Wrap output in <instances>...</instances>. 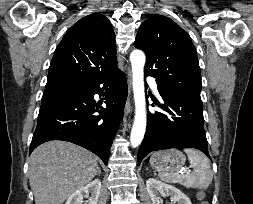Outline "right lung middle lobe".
Returning <instances> with one entry per match:
<instances>
[{
	"instance_id": "1",
	"label": "right lung middle lobe",
	"mask_w": 253,
	"mask_h": 204,
	"mask_svg": "<svg viewBox=\"0 0 253 204\" xmlns=\"http://www.w3.org/2000/svg\"><path fill=\"white\" fill-rule=\"evenodd\" d=\"M83 84L68 82V81H54L47 82L43 97L50 95L73 92L79 90Z\"/></svg>"
}]
</instances>
